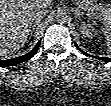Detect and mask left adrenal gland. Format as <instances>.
<instances>
[{
    "label": "left adrenal gland",
    "instance_id": "1",
    "mask_svg": "<svg viewBox=\"0 0 111 106\" xmlns=\"http://www.w3.org/2000/svg\"><path fill=\"white\" fill-rule=\"evenodd\" d=\"M71 11L75 12V17L76 18H79L84 14V12H81L79 8H75V7L71 8ZM85 15L89 16L88 14H85Z\"/></svg>",
    "mask_w": 111,
    "mask_h": 106
}]
</instances>
